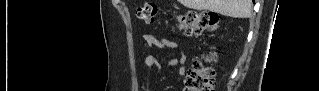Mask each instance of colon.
<instances>
[{
    "instance_id": "obj_1",
    "label": "colon",
    "mask_w": 319,
    "mask_h": 91,
    "mask_svg": "<svg viewBox=\"0 0 319 91\" xmlns=\"http://www.w3.org/2000/svg\"><path fill=\"white\" fill-rule=\"evenodd\" d=\"M158 7L155 3L148 2L137 9L139 20L154 24ZM177 30L188 35H200L213 31L219 26L218 16L212 12H186L175 15ZM213 55H203L196 59L185 77L186 91H214L215 72L209 65Z\"/></svg>"
}]
</instances>
